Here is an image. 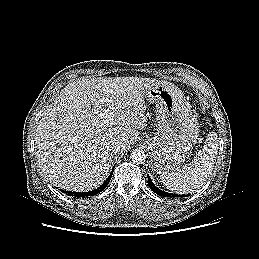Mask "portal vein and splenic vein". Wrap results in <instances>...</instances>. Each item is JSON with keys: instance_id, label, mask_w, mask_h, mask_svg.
I'll list each match as a JSON object with an SVG mask.
<instances>
[{"instance_id": "portal-vein-and-splenic-vein-1", "label": "portal vein and splenic vein", "mask_w": 259, "mask_h": 259, "mask_svg": "<svg viewBox=\"0 0 259 259\" xmlns=\"http://www.w3.org/2000/svg\"><path fill=\"white\" fill-rule=\"evenodd\" d=\"M104 119H105V120L103 121L104 125H106V126L111 125V123L109 122L108 119H106V117H104Z\"/></svg>"}]
</instances>
